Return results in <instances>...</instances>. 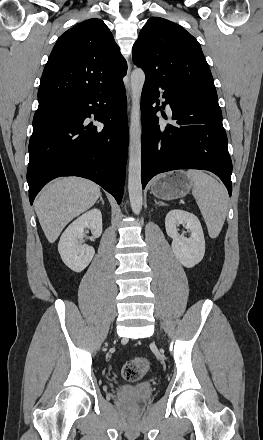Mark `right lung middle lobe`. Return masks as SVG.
<instances>
[{"label": "right lung middle lobe", "mask_w": 263, "mask_h": 440, "mask_svg": "<svg viewBox=\"0 0 263 440\" xmlns=\"http://www.w3.org/2000/svg\"><path fill=\"white\" fill-rule=\"evenodd\" d=\"M61 104L38 107L33 118V128L41 125L51 117L59 113Z\"/></svg>", "instance_id": "1"}]
</instances>
